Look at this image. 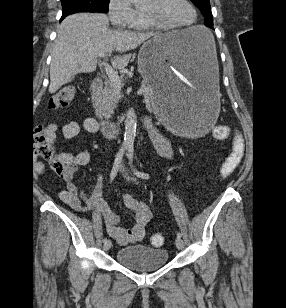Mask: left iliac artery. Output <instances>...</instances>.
Returning <instances> with one entry per match:
<instances>
[{"mask_svg": "<svg viewBox=\"0 0 286 308\" xmlns=\"http://www.w3.org/2000/svg\"><path fill=\"white\" fill-rule=\"evenodd\" d=\"M133 152H134L133 146H129V147H128V158H129V163L131 164V168H132L134 174H135L136 176L142 178V179H149V178H150L149 174L144 173V172H140V171L136 170V169L134 168V166L132 165V161H133ZM177 237H179V238L182 237V234H181L179 231L177 232Z\"/></svg>", "mask_w": 286, "mask_h": 308, "instance_id": "1", "label": "left iliac artery"}]
</instances>
